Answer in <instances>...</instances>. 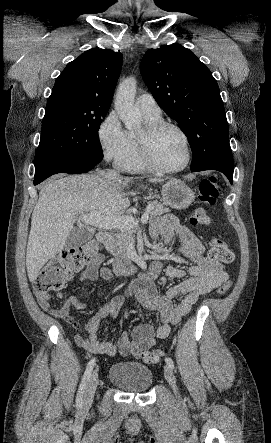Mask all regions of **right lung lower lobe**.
<instances>
[{
	"mask_svg": "<svg viewBox=\"0 0 271 443\" xmlns=\"http://www.w3.org/2000/svg\"><path fill=\"white\" fill-rule=\"evenodd\" d=\"M101 160L94 157H70L63 156L52 158L35 166L34 185L39 184L49 176L57 173L78 174L87 172L95 167Z\"/></svg>",
	"mask_w": 271,
	"mask_h": 443,
	"instance_id": "obj_1",
	"label": "right lung lower lobe"
}]
</instances>
